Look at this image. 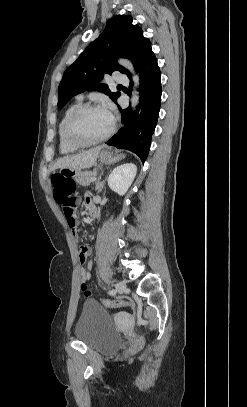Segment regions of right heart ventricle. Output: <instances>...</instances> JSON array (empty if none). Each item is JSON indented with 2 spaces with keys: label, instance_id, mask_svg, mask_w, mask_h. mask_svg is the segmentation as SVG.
Masks as SVG:
<instances>
[{
  "label": "right heart ventricle",
  "instance_id": "obj_1",
  "mask_svg": "<svg viewBox=\"0 0 247 407\" xmlns=\"http://www.w3.org/2000/svg\"><path fill=\"white\" fill-rule=\"evenodd\" d=\"M81 105V101L77 100L76 102L69 105L64 111L61 120L58 125V141H59V151L62 154H71L78 150V147L70 145L65 138V124L69 115Z\"/></svg>",
  "mask_w": 247,
  "mask_h": 407
}]
</instances>
